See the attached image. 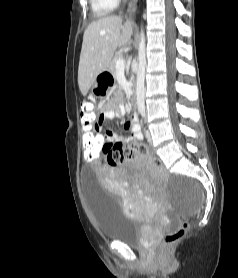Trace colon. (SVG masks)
I'll return each mask as SVG.
<instances>
[{
  "mask_svg": "<svg viewBox=\"0 0 238 278\" xmlns=\"http://www.w3.org/2000/svg\"><path fill=\"white\" fill-rule=\"evenodd\" d=\"M101 120L102 114L98 113L94 103L90 101L84 102L81 107L80 128L87 127L86 131H81V136H87L83 138V159L86 162H97L101 158L100 153H103L104 138L90 137L95 136L93 126L97 125ZM104 150L108 163L111 165H117L126 159L137 158L154 167L162 180L168 178V172L163 163L159 159L152 157L147 147L143 145L132 143L123 146L119 143H111L105 146ZM188 226L187 222H183L176 229L167 233L163 242L164 247L169 248L176 244L184 236Z\"/></svg>",
  "mask_w": 238,
  "mask_h": 278,
  "instance_id": "colon-1",
  "label": "colon"
}]
</instances>
